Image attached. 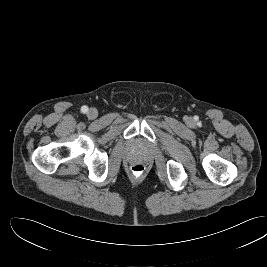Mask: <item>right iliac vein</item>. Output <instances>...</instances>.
Segmentation results:
<instances>
[{
	"instance_id": "right-iliac-vein-1",
	"label": "right iliac vein",
	"mask_w": 267,
	"mask_h": 267,
	"mask_svg": "<svg viewBox=\"0 0 267 267\" xmlns=\"http://www.w3.org/2000/svg\"><path fill=\"white\" fill-rule=\"evenodd\" d=\"M87 116L89 119H95L98 116V111L95 108H90Z\"/></svg>"
}]
</instances>
